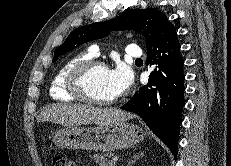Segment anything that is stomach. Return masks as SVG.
I'll return each mask as SVG.
<instances>
[{
    "instance_id": "obj_1",
    "label": "stomach",
    "mask_w": 231,
    "mask_h": 166,
    "mask_svg": "<svg viewBox=\"0 0 231 166\" xmlns=\"http://www.w3.org/2000/svg\"><path fill=\"white\" fill-rule=\"evenodd\" d=\"M143 130L126 121L97 127H66L55 132L54 143L61 149L111 152L144 140Z\"/></svg>"
}]
</instances>
